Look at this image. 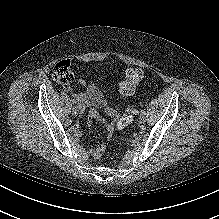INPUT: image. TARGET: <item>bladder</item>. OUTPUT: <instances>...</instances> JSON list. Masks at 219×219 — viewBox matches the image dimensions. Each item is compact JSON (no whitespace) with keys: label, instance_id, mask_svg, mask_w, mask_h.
<instances>
[{"label":"bladder","instance_id":"31cf9c89","mask_svg":"<svg viewBox=\"0 0 219 219\" xmlns=\"http://www.w3.org/2000/svg\"><path fill=\"white\" fill-rule=\"evenodd\" d=\"M89 95L94 105L97 104L98 101L101 103V93H100L99 88L96 85L90 86ZM91 107L95 108V106H91Z\"/></svg>","mask_w":219,"mask_h":219}]
</instances>
